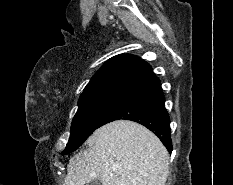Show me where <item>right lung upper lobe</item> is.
<instances>
[{"label": "right lung upper lobe", "mask_w": 233, "mask_h": 185, "mask_svg": "<svg viewBox=\"0 0 233 185\" xmlns=\"http://www.w3.org/2000/svg\"><path fill=\"white\" fill-rule=\"evenodd\" d=\"M155 77L151 66L135 55H117L105 63L86 85L82 94L104 89L132 90Z\"/></svg>", "instance_id": "right-lung-upper-lobe-1"}]
</instances>
